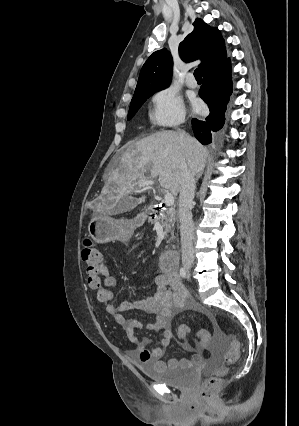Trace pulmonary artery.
<instances>
[{"mask_svg":"<svg viewBox=\"0 0 299 426\" xmlns=\"http://www.w3.org/2000/svg\"><path fill=\"white\" fill-rule=\"evenodd\" d=\"M186 83H187V85H188L189 87H191V88H195V87L197 86V82H196V80L194 79L193 75H189V76L187 77Z\"/></svg>","mask_w":299,"mask_h":426,"instance_id":"e3ab8cb5","label":"pulmonary artery"}]
</instances>
